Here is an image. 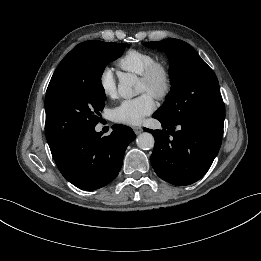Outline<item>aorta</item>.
Returning a JSON list of instances; mask_svg holds the SVG:
<instances>
[{
    "mask_svg": "<svg viewBox=\"0 0 261 261\" xmlns=\"http://www.w3.org/2000/svg\"><path fill=\"white\" fill-rule=\"evenodd\" d=\"M118 92L123 98H131L141 92L139 79L135 74L124 73L118 84ZM137 146L142 150H149L154 147V137L149 132H143L138 135Z\"/></svg>",
    "mask_w": 261,
    "mask_h": 261,
    "instance_id": "obj_1",
    "label": "aorta"
}]
</instances>
